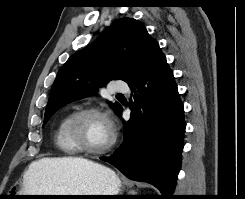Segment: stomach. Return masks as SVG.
<instances>
[{"label":"stomach","mask_w":245,"mask_h":199,"mask_svg":"<svg viewBox=\"0 0 245 199\" xmlns=\"http://www.w3.org/2000/svg\"><path fill=\"white\" fill-rule=\"evenodd\" d=\"M122 181L114 171L100 164L89 167H75L68 173L51 174L46 177L45 189L33 191L24 183L16 188L14 195H118ZM23 198V196H18ZM42 199H77L97 197H41Z\"/></svg>","instance_id":"0dacf381"}]
</instances>
